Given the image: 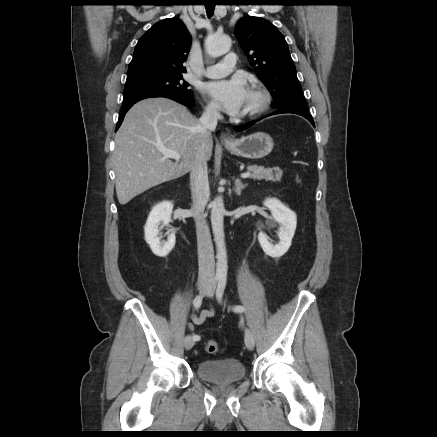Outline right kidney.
<instances>
[{"mask_svg": "<svg viewBox=\"0 0 437 437\" xmlns=\"http://www.w3.org/2000/svg\"><path fill=\"white\" fill-rule=\"evenodd\" d=\"M173 204L169 201H163L155 205L149 213L144 227L145 241L150 246L152 252L158 257H166L175 246V233L169 230L167 232V241L161 240L160 230L164 226H169Z\"/></svg>", "mask_w": 437, "mask_h": 437, "instance_id": "obj_1", "label": "right kidney"}]
</instances>
